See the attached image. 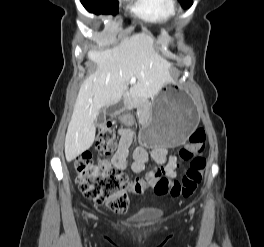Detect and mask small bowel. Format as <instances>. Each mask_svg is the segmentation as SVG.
<instances>
[{
  "label": "small bowel",
  "mask_w": 264,
  "mask_h": 247,
  "mask_svg": "<svg viewBox=\"0 0 264 247\" xmlns=\"http://www.w3.org/2000/svg\"><path fill=\"white\" fill-rule=\"evenodd\" d=\"M120 140L118 148L112 158L113 166L118 170H124L128 166L127 157L132 151L133 163L131 170L134 173H142L145 169V164L148 161V153L142 147H132V142L135 137V131L131 128H122L119 131ZM152 156L157 162L167 161V174L170 178H175L177 173L175 171V157L167 158L165 148H156L152 151ZM151 175V174H149Z\"/></svg>",
  "instance_id": "small-bowel-1"
}]
</instances>
